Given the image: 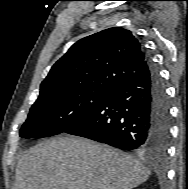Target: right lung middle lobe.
Listing matches in <instances>:
<instances>
[{"mask_svg": "<svg viewBox=\"0 0 188 189\" xmlns=\"http://www.w3.org/2000/svg\"><path fill=\"white\" fill-rule=\"evenodd\" d=\"M111 91L92 88L38 97L20 136L37 138L63 133L81 122Z\"/></svg>", "mask_w": 188, "mask_h": 189, "instance_id": "1", "label": "right lung middle lobe"}]
</instances>
